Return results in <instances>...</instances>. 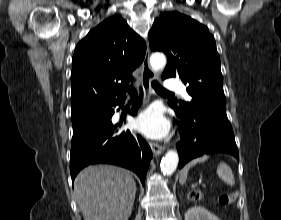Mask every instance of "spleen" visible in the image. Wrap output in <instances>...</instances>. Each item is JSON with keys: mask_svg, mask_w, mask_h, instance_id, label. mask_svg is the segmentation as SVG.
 <instances>
[{"mask_svg": "<svg viewBox=\"0 0 281 220\" xmlns=\"http://www.w3.org/2000/svg\"><path fill=\"white\" fill-rule=\"evenodd\" d=\"M209 158V156L204 155L202 157L193 159L189 163H187L183 169L180 171V177L179 182L181 184H184L187 179L188 171L191 167L196 165L197 163H202L206 161ZM217 175L228 185L233 186L235 183L234 175L232 173L231 168L224 162H220L217 167Z\"/></svg>", "mask_w": 281, "mask_h": 220, "instance_id": "obj_1", "label": "spleen"}]
</instances>
